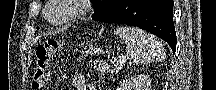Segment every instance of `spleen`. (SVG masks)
<instances>
[{"mask_svg": "<svg viewBox=\"0 0 216 90\" xmlns=\"http://www.w3.org/2000/svg\"><path fill=\"white\" fill-rule=\"evenodd\" d=\"M116 36L126 44L127 54L134 64H146L158 60L161 54V44L153 34H148L139 28H116Z\"/></svg>", "mask_w": 216, "mask_h": 90, "instance_id": "3e777b00", "label": "spleen"}]
</instances>
